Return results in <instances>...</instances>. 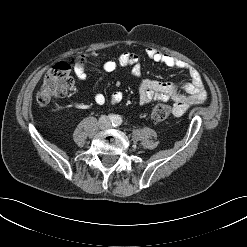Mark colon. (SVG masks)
Wrapping results in <instances>:
<instances>
[{"mask_svg": "<svg viewBox=\"0 0 247 247\" xmlns=\"http://www.w3.org/2000/svg\"><path fill=\"white\" fill-rule=\"evenodd\" d=\"M85 63L86 58L80 56L70 63L61 62L53 66L46 74L37 93V102L45 106L54 99L65 97L74 84L71 76L72 65L84 67ZM173 112L174 107L171 104H158L153 108L151 117L155 122H162L168 119Z\"/></svg>", "mask_w": 247, "mask_h": 247, "instance_id": "obj_1", "label": "colon"}]
</instances>
